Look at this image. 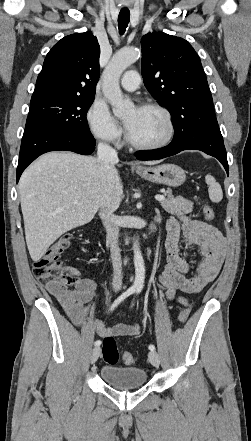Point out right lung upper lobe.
Returning <instances> with one entry per match:
<instances>
[{
  "label": "right lung upper lobe",
  "mask_w": 251,
  "mask_h": 441,
  "mask_svg": "<svg viewBox=\"0 0 251 441\" xmlns=\"http://www.w3.org/2000/svg\"><path fill=\"white\" fill-rule=\"evenodd\" d=\"M100 46L92 33L65 36L47 54L31 101L49 97L94 96Z\"/></svg>",
  "instance_id": "cb5924a9"
}]
</instances>
